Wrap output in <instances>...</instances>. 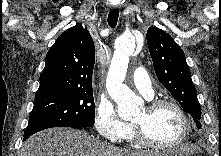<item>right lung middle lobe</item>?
I'll list each match as a JSON object with an SVG mask.
<instances>
[{"label": "right lung middle lobe", "mask_w": 221, "mask_h": 156, "mask_svg": "<svg viewBox=\"0 0 221 156\" xmlns=\"http://www.w3.org/2000/svg\"><path fill=\"white\" fill-rule=\"evenodd\" d=\"M94 115L92 89L39 97L34 101L24 136L51 127H92Z\"/></svg>", "instance_id": "right-lung-middle-lobe-1"}]
</instances>
